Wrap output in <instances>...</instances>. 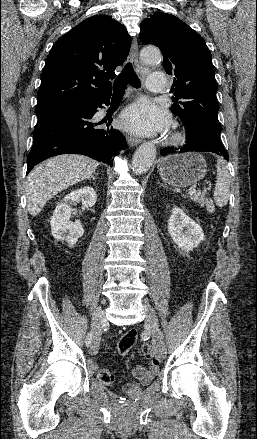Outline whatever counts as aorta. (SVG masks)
<instances>
[{
  "label": "aorta",
  "mask_w": 257,
  "mask_h": 439,
  "mask_svg": "<svg viewBox=\"0 0 257 439\" xmlns=\"http://www.w3.org/2000/svg\"><path fill=\"white\" fill-rule=\"evenodd\" d=\"M141 58L147 64H157L161 61L159 49L146 47L141 51ZM156 158V148L151 143H144L136 150L132 159L133 171L136 174L145 173L150 169Z\"/></svg>",
  "instance_id": "obj_1"
}]
</instances>
